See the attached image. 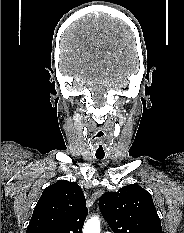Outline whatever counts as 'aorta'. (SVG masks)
<instances>
[{"instance_id": "obj_1", "label": "aorta", "mask_w": 184, "mask_h": 233, "mask_svg": "<svg viewBox=\"0 0 184 233\" xmlns=\"http://www.w3.org/2000/svg\"><path fill=\"white\" fill-rule=\"evenodd\" d=\"M83 233H100V221L97 216L87 220L83 228Z\"/></svg>"}]
</instances>
